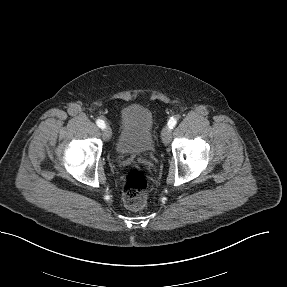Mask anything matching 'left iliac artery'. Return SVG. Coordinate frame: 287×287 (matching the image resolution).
I'll return each mask as SVG.
<instances>
[{"label":"left iliac artery","instance_id":"1","mask_svg":"<svg viewBox=\"0 0 287 287\" xmlns=\"http://www.w3.org/2000/svg\"><path fill=\"white\" fill-rule=\"evenodd\" d=\"M176 124H177V120L175 118L171 117L170 120L168 121V127L170 129H173Z\"/></svg>","mask_w":287,"mask_h":287}]
</instances>
